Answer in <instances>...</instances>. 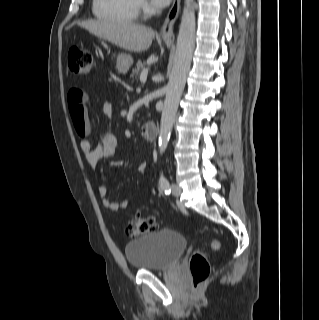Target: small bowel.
<instances>
[{
  "mask_svg": "<svg viewBox=\"0 0 319 320\" xmlns=\"http://www.w3.org/2000/svg\"><path fill=\"white\" fill-rule=\"evenodd\" d=\"M87 99L86 92L79 88H72L68 93L69 112L74 126L83 125L89 132L90 123L86 107ZM102 111L104 115L111 116L113 113L112 103L105 101L102 106ZM118 147V139L112 133L105 134L96 146H92L89 140H82L80 142L81 152L91 167H96L102 159L115 156L118 152ZM146 169L147 164H141L140 171L144 173ZM98 195L101 197L103 207L108 211L123 210L129 205L128 199L117 202L108 198L107 188L104 185L98 187Z\"/></svg>",
  "mask_w": 319,
  "mask_h": 320,
  "instance_id": "small-bowel-1",
  "label": "small bowel"
}]
</instances>
